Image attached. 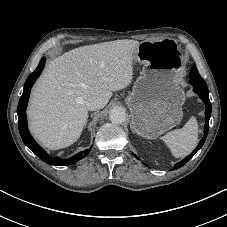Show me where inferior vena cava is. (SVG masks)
<instances>
[{"instance_id":"1","label":"inferior vena cava","mask_w":227,"mask_h":227,"mask_svg":"<svg viewBox=\"0 0 227 227\" xmlns=\"http://www.w3.org/2000/svg\"><path fill=\"white\" fill-rule=\"evenodd\" d=\"M85 105L88 110L95 111V110L101 109L104 103L101 98L93 96L85 102Z\"/></svg>"}]
</instances>
